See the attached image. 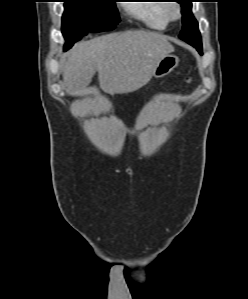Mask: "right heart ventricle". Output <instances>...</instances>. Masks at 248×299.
Here are the masks:
<instances>
[{
  "label": "right heart ventricle",
  "mask_w": 248,
  "mask_h": 299,
  "mask_svg": "<svg viewBox=\"0 0 248 299\" xmlns=\"http://www.w3.org/2000/svg\"><path fill=\"white\" fill-rule=\"evenodd\" d=\"M165 5L157 0L146 1L129 6L128 12L147 26L164 30L169 24V20L164 13Z\"/></svg>",
  "instance_id": "right-heart-ventricle-1"
}]
</instances>
